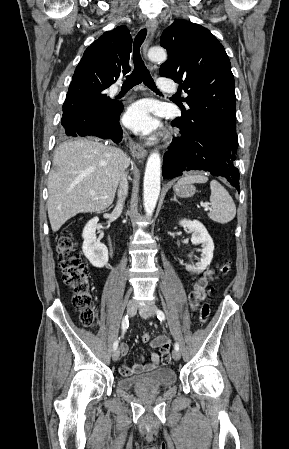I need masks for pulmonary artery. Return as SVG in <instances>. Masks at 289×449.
Segmentation results:
<instances>
[{"mask_svg":"<svg viewBox=\"0 0 289 449\" xmlns=\"http://www.w3.org/2000/svg\"><path fill=\"white\" fill-rule=\"evenodd\" d=\"M157 83L160 89L168 90L170 88V81L166 78H159Z\"/></svg>","mask_w":289,"mask_h":449,"instance_id":"obj_1","label":"pulmonary artery"}]
</instances>
